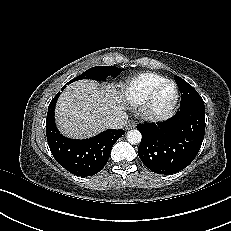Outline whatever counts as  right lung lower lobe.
Wrapping results in <instances>:
<instances>
[{
  "label": "right lung lower lobe",
  "mask_w": 231,
  "mask_h": 231,
  "mask_svg": "<svg viewBox=\"0 0 231 231\" xmlns=\"http://www.w3.org/2000/svg\"><path fill=\"white\" fill-rule=\"evenodd\" d=\"M68 84L70 82L66 85ZM59 96L60 92L51 101L46 118V135L51 153L70 173L82 177L95 175L104 168L113 145L125 131L109 129L86 140L64 137L56 128L54 121V110Z\"/></svg>",
  "instance_id": "1"
}]
</instances>
